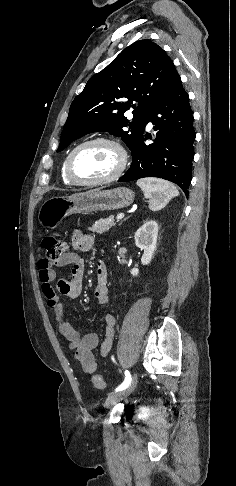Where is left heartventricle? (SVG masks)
<instances>
[{"mask_svg": "<svg viewBox=\"0 0 236 486\" xmlns=\"http://www.w3.org/2000/svg\"><path fill=\"white\" fill-rule=\"evenodd\" d=\"M120 155L108 144H93L81 149L72 162L73 173L82 180H96L111 175L118 168Z\"/></svg>", "mask_w": 236, "mask_h": 486, "instance_id": "obj_1", "label": "left heart ventricle"}]
</instances>
